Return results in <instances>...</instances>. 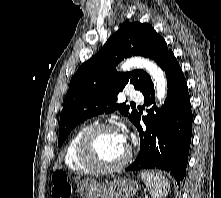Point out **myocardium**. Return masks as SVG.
Returning <instances> with one entry per match:
<instances>
[{"instance_id":"f54148a6","label":"myocardium","mask_w":221,"mask_h":198,"mask_svg":"<svg viewBox=\"0 0 221 198\" xmlns=\"http://www.w3.org/2000/svg\"><path fill=\"white\" fill-rule=\"evenodd\" d=\"M103 131H118V128L109 123H99L93 126H90L85 133L83 134L80 143H79V157L81 161L89 167L91 170L100 173H112L117 172L123 169L130 161L132 157V149L130 145H127V152L124 158L113 165H105L101 163L94 151V144L96 137L99 133Z\"/></svg>"}]
</instances>
